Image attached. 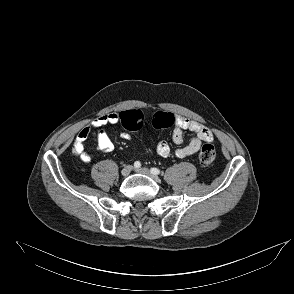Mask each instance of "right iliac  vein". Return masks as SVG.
Returning <instances> with one entry per match:
<instances>
[{"instance_id":"1","label":"right iliac vein","mask_w":294,"mask_h":294,"mask_svg":"<svg viewBox=\"0 0 294 294\" xmlns=\"http://www.w3.org/2000/svg\"><path fill=\"white\" fill-rule=\"evenodd\" d=\"M131 171H132V166H131V165H126V166L122 169V171H121V175H122L123 177H127V176L131 173Z\"/></svg>"}]
</instances>
